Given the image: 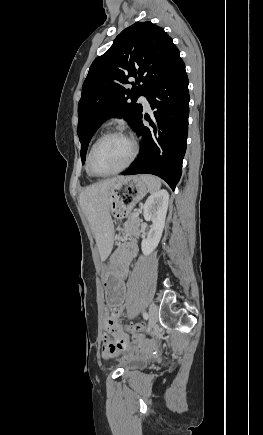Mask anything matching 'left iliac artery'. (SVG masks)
I'll use <instances>...</instances> for the list:
<instances>
[{"label":"left iliac artery","instance_id":"1","mask_svg":"<svg viewBox=\"0 0 263 435\" xmlns=\"http://www.w3.org/2000/svg\"><path fill=\"white\" fill-rule=\"evenodd\" d=\"M143 318H144L145 320H147V319L149 318V315H148V313H146V312H143Z\"/></svg>","mask_w":263,"mask_h":435}]
</instances>
